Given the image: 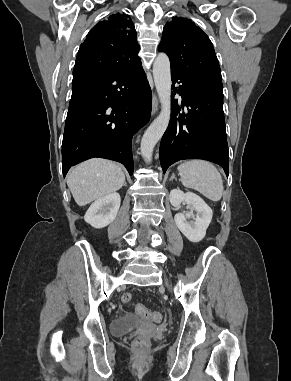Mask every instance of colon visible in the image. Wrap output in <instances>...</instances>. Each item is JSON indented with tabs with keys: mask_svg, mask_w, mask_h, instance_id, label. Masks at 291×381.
<instances>
[{
	"mask_svg": "<svg viewBox=\"0 0 291 381\" xmlns=\"http://www.w3.org/2000/svg\"><path fill=\"white\" fill-rule=\"evenodd\" d=\"M131 300H132L131 294L125 293L122 295V302L123 303H130ZM134 309H135L136 313L142 318L150 319V320L157 322V323H159L163 320V314L162 313L151 311L150 309H148L145 305H143L141 303H135ZM148 345H149L148 340L141 337V336L136 337L134 340V346L138 350H144L148 347Z\"/></svg>",
	"mask_w": 291,
	"mask_h": 381,
	"instance_id": "5ec220e1",
	"label": "colon"
}]
</instances>
